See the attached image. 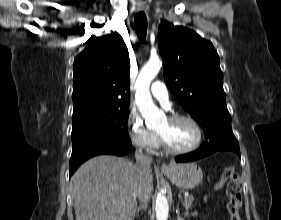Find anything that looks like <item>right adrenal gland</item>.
Here are the masks:
<instances>
[{"mask_svg":"<svg viewBox=\"0 0 281 220\" xmlns=\"http://www.w3.org/2000/svg\"><path fill=\"white\" fill-rule=\"evenodd\" d=\"M147 206L146 205H140L138 208H137V214H139L140 211L142 210H146Z\"/></svg>","mask_w":281,"mask_h":220,"instance_id":"1","label":"right adrenal gland"}]
</instances>
